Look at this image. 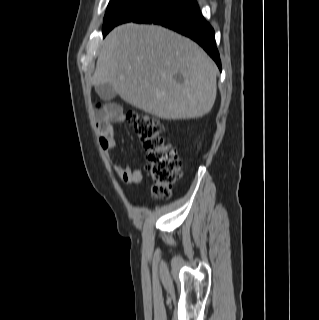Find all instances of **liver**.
Here are the masks:
<instances>
[{"instance_id": "obj_1", "label": "liver", "mask_w": 319, "mask_h": 320, "mask_svg": "<svg viewBox=\"0 0 319 320\" xmlns=\"http://www.w3.org/2000/svg\"><path fill=\"white\" fill-rule=\"evenodd\" d=\"M217 73L212 59L190 39L131 22L105 38L92 84L108 83L125 102L158 118L195 119L214 105Z\"/></svg>"}]
</instances>
